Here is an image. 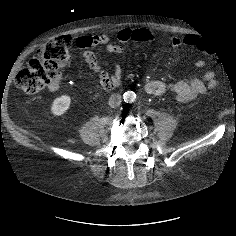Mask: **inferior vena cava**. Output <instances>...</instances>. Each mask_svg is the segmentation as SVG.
I'll return each instance as SVG.
<instances>
[{
    "label": "inferior vena cava",
    "instance_id": "1",
    "mask_svg": "<svg viewBox=\"0 0 236 236\" xmlns=\"http://www.w3.org/2000/svg\"><path fill=\"white\" fill-rule=\"evenodd\" d=\"M108 104L111 108H117L121 104V95L114 93L109 97Z\"/></svg>",
    "mask_w": 236,
    "mask_h": 236
}]
</instances>
